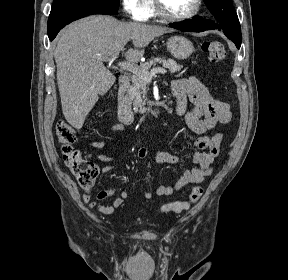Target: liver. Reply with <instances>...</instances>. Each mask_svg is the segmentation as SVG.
Returning <instances> with one entry per match:
<instances>
[{
	"label": "liver",
	"instance_id": "6515ba94",
	"mask_svg": "<svg viewBox=\"0 0 288 280\" xmlns=\"http://www.w3.org/2000/svg\"><path fill=\"white\" fill-rule=\"evenodd\" d=\"M170 31L157 25L121 22L108 15L89 16L63 29L54 58L62 111L68 123L81 129L99 96L114 84L116 78L104 66L103 56L123 52L131 39L134 49L124 56L129 62H138L154 38Z\"/></svg>",
	"mask_w": 288,
	"mask_h": 280
}]
</instances>
